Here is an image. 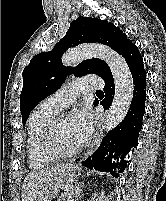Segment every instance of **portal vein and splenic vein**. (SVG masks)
Returning a JSON list of instances; mask_svg holds the SVG:
<instances>
[{"instance_id": "portal-vein-and-splenic-vein-1", "label": "portal vein and splenic vein", "mask_w": 166, "mask_h": 201, "mask_svg": "<svg viewBox=\"0 0 166 201\" xmlns=\"http://www.w3.org/2000/svg\"><path fill=\"white\" fill-rule=\"evenodd\" d=\"M65 191H69V189L66 187L65 189H64Z\"/></svg>"}]
</instances>
